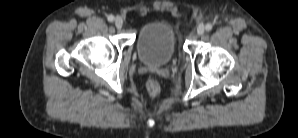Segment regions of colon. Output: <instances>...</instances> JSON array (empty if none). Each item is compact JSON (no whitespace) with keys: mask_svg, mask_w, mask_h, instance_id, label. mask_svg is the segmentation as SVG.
Segmentation results:
<instances>
[{"mask_svg":"<svg viewBox=\"0 0 298 138\" xmlns=\"http://www.w3.org/2000/svg\"><path fill=\"white\" fill-rule=\"evenodd\" d=\"M146 89L150 96L152 97L156 96L160 91V86L158 81H156L155 79L148 80L146 83Z\"/></svg>","mask_w":298,"mask_h":138,"instance_id":"5ec220e1","label":"colon"}]
</instances>
